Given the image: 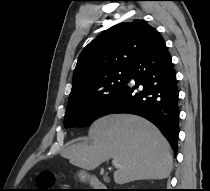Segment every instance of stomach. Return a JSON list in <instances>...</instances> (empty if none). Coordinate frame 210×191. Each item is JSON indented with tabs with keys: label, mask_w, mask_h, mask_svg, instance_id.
<instances>
[{
	"label": "stomach",
	"mask_w": 210,
	"mask_h": 191,
	"mask_svg": "<svg viewBox=\"0 0 210 191\" xmlns=\"http://www.w3.org/2000/svg\"><path fill=\"white\" fill-rule=\"evenodd\" d=\"M79 178L81 181L85 182L90 178V176L86 172L81 171L79 172Z\"/></svg>",
	"instance_id": "stomach-1"
}]
</instances>
